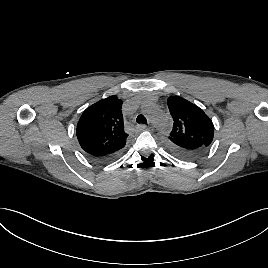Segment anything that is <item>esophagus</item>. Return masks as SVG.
I'll return each mask as SVG.
<instances>
[{
	"label": "esophagus",
	"mask_w": 268,
	"mask_h": 268,
	"mask_svg": "<svg viewBox=\"0 0 268 268\" xmlns=\"http://www.w3.org/2000/svg\"><path fill=\"white\" fill-rule=\"evenodd\" d=\"M141 127H142L143 129H146V128H147V126H146V125H141Z\"/></svg>",
	"instance_id": "1"
}]
</instances>
